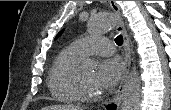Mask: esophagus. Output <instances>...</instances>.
I'll return each instance as SVG.
<instances>
[{
	"label": "esophagus",
	"instance_id": "esophagus-1",
	"mask_svg": "<svg viewBox=\"0 0 171 110\" xmlns=\"http://www.w3.org/2000/svg\"><path fill=\"white\" fill-rule=\"evenodd\" d=\"M109 4H110L112 10L117 15L118 20H119L118 25H117V30L123 34L125 63H126L125 73L123 75V78L119 85V88L117 89L113 99L111 101L107 102V104H106V106H108V109L110 108V110H113L114 106L116 107V109H119V107L121 106V102H122L124 93H125L126 78L129 73L130 64H131V48H130V40H129L128 34L126 32L124 22L122 20L120 8H119L118 4L116 3V1H109Z\"/></svg>",
	"mask_w": 171,
	"mask_h": 110
}]
</instances>
